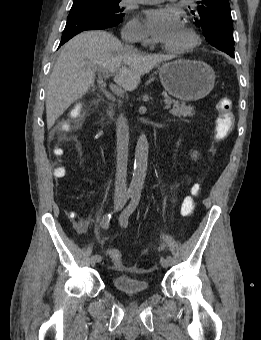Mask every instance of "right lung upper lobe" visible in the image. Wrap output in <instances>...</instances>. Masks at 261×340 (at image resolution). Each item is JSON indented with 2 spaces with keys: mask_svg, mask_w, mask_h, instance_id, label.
Here are the masks:
<instances>
[{
  "mask_svg": "<svg viewBox=\"0 0 261 340\" xmlns=\"http://www.w3.org/2000/svg\"><path fill=\"white\" fill-rule=\"evenodd\" d=\"M80 1H90V0H74V2H80Z\"/></svg>",
  "mask_w": 261,
  "mask_h": 340,
  "instance_id": "obj_1",
  "label": "right lung upper lobe"
}]
</instances>
